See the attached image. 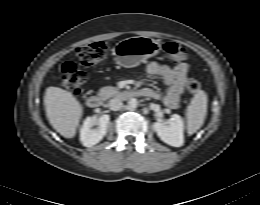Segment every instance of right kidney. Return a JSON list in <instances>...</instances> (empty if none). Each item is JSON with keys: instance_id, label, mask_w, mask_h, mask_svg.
Returning a JSON list of instances; mask_svg holds the SVG:
<instances>
[{"instance_id": "obj_1", "label": "right kidney", "mask_w": 260, "mask_h": 205, "mask_svg": "<svg viewBox=\"0 0 260 205\" xmlns=\"http://www.w3.org/2000/svg\"><path fill=\"white\" fill-rule=\"evenodd\" d=\"M109 119V115L101 116L98 120L99 127L92 129L95 124V119L93 117H87L80 131L82 144L86 147H92L99 143L107 133Z\"/></svg>"}]
</instances>
